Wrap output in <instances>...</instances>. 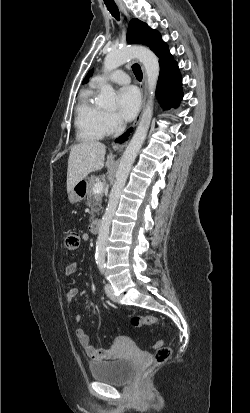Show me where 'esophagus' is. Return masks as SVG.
I'll return each instance as SVG.
<instances>
[{
	"label": "esophagus",
	"instance_id": "1",
	"mask_svg": "<svg viewBox=\"0 0 250 413\" xmlns=\"http://www.w3.org/2000/svg\"><path fill=\"white\" fill-rule=\"evenodd\" d=\"M120 8H121L122 12H123L126 16H128L126 9H125L122 5H120ZM142 70H143V73H144L143 66H142ZM144 78H145V73H144ZM142 91H143V100H142V110H143V109H144V106H145L146 96H145L144 88H142ZM139 121H140V116H138V117L135 119L132 127L135 128V127L138 125ZM121 148H122V145L117 144V143H113V149H114L115 151H119V150H121Z\"/></svg>",
	"mask_w": 250,
	"mask_h": 413
}]
</instances>
